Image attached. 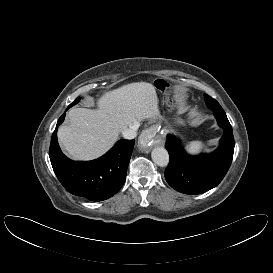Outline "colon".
<instances>
[{"mask_svg": "<svg viewBox=\"0 0 273 273\" xmlns=\"http://www.w3.org/2000/svg\"><path fill=\"white\" fill-rule=\"evenodd\" d=\"M156 85L159 89L163 90L166 88L167 83L164 80H158Z\"/></svg>", "mask_w": 273, "mask_h": 273, "instance_id": "obj_1", "label": "colon"}]
</instances>
